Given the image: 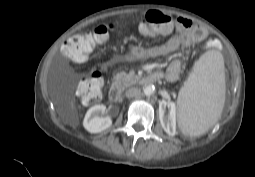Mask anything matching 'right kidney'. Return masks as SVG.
Instances as JSON below:
<instances>
[{"instance_id":"right-kidney-1","label":"right kidney","mask_w":255,"mask_h":177,"mask_svg":"<svg viewBox=\"0 0 255 177\" xmlns=\"http://www.w3.org/2000/svg\"><path fill=\"white\" fill-rule=\"evenodd\" d=\"M106 106L103 104L91 107L84 118L83 126L90 133H99L109 128L112 125V120L109 116L103 117Z\"/></svg>"}]
</instances>
